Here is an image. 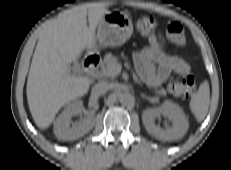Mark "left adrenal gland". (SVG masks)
Here are the masks:
<instances>
[{
    "mask_svg": "<svg viewBox=\"0 0 231 170\" xmlns=\"http://www.w3.org/2000/svg\"><path fill=\"white\" fill-rule=\"evenodd\" d=\"M141 97L144 98V99H146V100L151 101V98L148 97V96H146L145 94H142V93H141Z\"/></svg>",
    "mask_w": 231,
    "mask_h": 170,
    "instance_id": "a2214340",
    "label": "left adrenal gland"
}]
</instances>
